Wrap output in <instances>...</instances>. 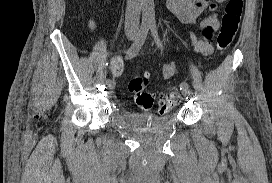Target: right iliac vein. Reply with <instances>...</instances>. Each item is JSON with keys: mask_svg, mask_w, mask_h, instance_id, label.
<instances>
[{"mask_svg": "<svg viewBox=\"0 0 272 183\" xmlns=\"http://www.w3.org/2000/svg\"><path fill=\"white\" fill-rule=\"evenodd\" d=\"M128 38H129L130 40H134V39L136 38L135 32H130V33L128 34ZM105 83H106V85H107V89H108L110 92H112V91L114 90V88H115V82H114V81L108 82V81L106 80Z\"/></svg>", "mask_w": 272, "mask_h": 183, "instance_id": "right-iliac-vein-1", "label": "right iliac vein"}]
</instances>
